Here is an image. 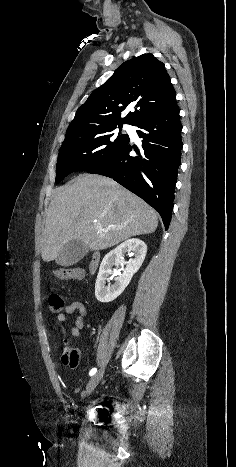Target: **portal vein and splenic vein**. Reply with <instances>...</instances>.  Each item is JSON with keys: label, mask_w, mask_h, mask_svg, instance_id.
<instances>
[{"label": "portal vein and splenic vein", "mask_w": 236, "mask_h": 467, "mask_svg": "<svg viewBox=\"0 0 236 467\" xmlns=\"http://www.w3.org/2000/svg\"><path fill=\"white\" fill-rule=\"evenodd\" d=\"M98 227H99L100 229L102 228V226H101V225H100V226H98ZM113 228H114V227H113Z\"/></svg>", "instance_id": "portal-vein-and-splenic-vein-1"}]
</instances>
